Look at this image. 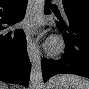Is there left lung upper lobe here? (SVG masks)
I'll return each instance as SVG.
<instances>
[{
  "label": "left lung upper lobe",
  "instance_id": "5c2ea615",
  "mask_svg": "<svg viewBox=\"0 0 89 89\" xmlns=\"http://www.w3.org/2000/svg\"><path fill=\"white\" fill-rule=\"evenodd\" d=\"M65 8H85L89 9V0H62Z\"/></svg>",
  "mask_w": 89,
  "mask_h": 89
}]
</instances>
